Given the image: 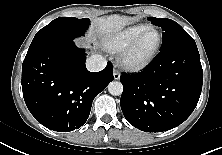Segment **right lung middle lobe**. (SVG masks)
<instances>
[{
  "mask_svg": "<svg viewBox=\"0 0 222 155\" xmlns=\"http://www.w3.org/2000/svg\"><path fill=\"white\" fill-rule=\"evenodd\" d=\"M90 22L88 18L59 17L37 32L27 55H31L41 48L60 41L73 40L84 34Z\"/></svg>",
  "mask_w": 222,
  "mask_h": 155,
  "instance_id": "obj_1",
  "label": "right lung middle lobe"
}]
</instances>
